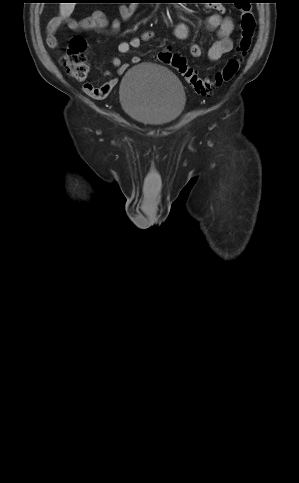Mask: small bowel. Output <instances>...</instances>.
Here are the masks:
<instances>
[{"instance_id":"c3829d8e","label":"small bowel","mask_w":299,"mask_h":483,"mask_svg":"<svg viewBox=\"0 0 299 483\" xmlns=\"http://www.w3.org/2000/svg\"><path fill=\"white\" fill-rule=\"evenodd\" d=\"M121 18L127 20L132 15L131 8L127 6H120L119 8ZM214 12L211 13L206 19V25L209 29L216 31V40L210 46L207 52L208 60L211 62H216L220 60L225 54L232 51L233 42L231 39V34L233 32V21L229 17H224L225 7L222 5L214 6ZM63 20L60 17L53 18L48 25V33L46 42L48 46L52 49L58 48V39L56 36L57 29L62 24ZM67 26L73 31H89L94 30L97 32H102L106 34H117L122 26L120 19H114L109 22L105 14L97 10L92 13L91 16L85 17L79 20L69 19L67 21ZM174 36L178 40H186L189 37V27L184 23H178L173 29ZM156 34L153 30H146L140 36L131 38L130 40L121 41L118 44V51L121 54H127L133 48H137L142 42L151 41L155 38ZM189 53L194 58H199L202 56V49L197 43H192L189 47ZM140 62V58L134 56L131 58L132 64H137ZM111 64L118 68V73L123 74L128 68V63H123L120 58L114 57L111 60ZM106 76L110 77L109 72L105 73ZM117 84V78L112 77L100 86H94L91 83H85L83 89L89 96L102 100L105 99L112 89Z\"/></svg>"}]
</instances>
